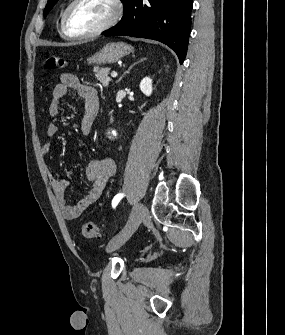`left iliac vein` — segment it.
Returning <instances> with one entry per match:
<instances>
[{"label": "left iliac vein", "instance_id": "1", "mask_svg": "<svg viewBox=\"0 0 285 335\" xmlns=\"http://www.w3.org/2000/svg\"><path fill=\"white\" fill-rule=\"evenodd\" d=\"M148 218V211L146 207L141 204H135L134 208L132 209L128 221L123 228L122 232L113 238L106 246V250L108 252H114L119 247H121L135 232L139 224Z\"/></svg>", "mask_w": 285, "mask_h": 335}]
</instances>
